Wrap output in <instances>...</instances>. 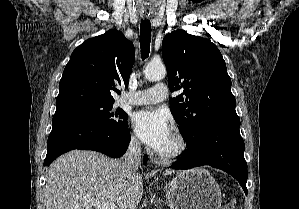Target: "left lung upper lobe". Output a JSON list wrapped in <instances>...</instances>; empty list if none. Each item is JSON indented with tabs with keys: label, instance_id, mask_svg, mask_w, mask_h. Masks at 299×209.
<instances>
[{
	"label": "left lung upper lobe",
	"instance_id": "left-lung-upper-lobe-1",
	"mask_svg": "<svg viewBox=\"0 0 299 209\" xmlns=\"http://www.w3.org/2000/svg\"><path fill=\"white\" fill-rule=\"evenodd\" d=\"M162 56L169 89H183L170 99V108L184 140L198 135L212 120L236 114L231 79L215 44L178 29L164 37Z\"/></svg>",
	"mask_w": 299,
	"mask_h": 209
}]
</instances>
